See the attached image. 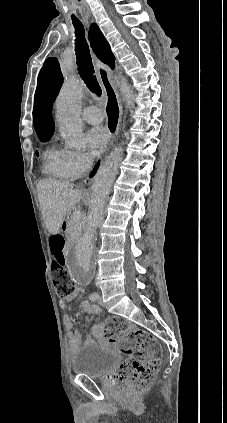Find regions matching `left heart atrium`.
Wrapping results in <instances>:
<instances>
[{
  "mask_svg": "<svg viewBox=\"0 0 227 423\" xmlns=\"http://www.w3.org/2000/svg\"><path fill=\"white\" fill-rule=\"evenodd\" d=\"M87 142L91 153L93 155H99L108 145V132L102 127L93 128L87 133Z\"/></svg>",
  "mask_w": 227,
  "mask_h": 423,
  "instance_id": "39dd6f15",
  "label": "left heart atrium"
}]
</instances>
